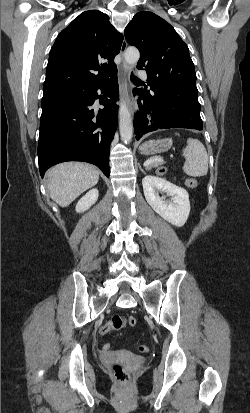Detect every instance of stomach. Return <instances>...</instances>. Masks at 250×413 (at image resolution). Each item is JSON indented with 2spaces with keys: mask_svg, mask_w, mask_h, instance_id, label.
<instances>
[{
  "mask_svg": "<svg viewBox=\"0 0 250 413\" xmlns=\"http://www.w3.org/2000/svg\"><path fill=\"white\" fill-rule=\"evenodd\" d=\"M172 146V139H161V140H152L143 143L139 150L142 154L145 155H155L158 153L166 152Z\"/></svg>",
  "mask_w": 250,
  "mask_h": 413,
  "instance_id": "0dacf381",
  "label": "stomach"
}]
</instances>
